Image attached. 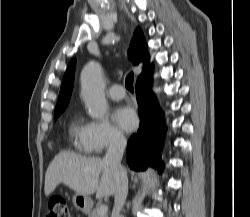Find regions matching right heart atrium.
<instances>
[{"mask_svg":"<svg viewBox=\"0 0 250 217\" xmlns=\"http://www.w3.org/2000/svg\"><path fill=\"white\" fill-rule=\"evenodd\" d=\"M85 141L89 152L102 154L108 149L122 146L125 136L107 119L102 118L85 124Z\"/></svg>","mask_w":250,"mask_h":217,"instance_id":"1","label":"right heart atrium"}]
</instances>
